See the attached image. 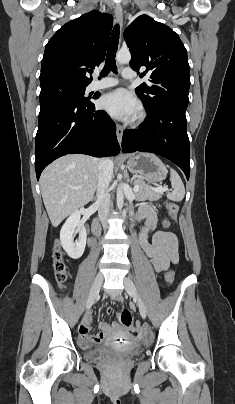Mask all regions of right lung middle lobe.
Wrapping results in <instances>:
<instances>
[{
    "instance_id": "1",
    "label": "right lung middle lobe",
    "mask_w": 235,
    "mask_h": 404,
    "mask_svg": "<svg viewBox=\"0 0 235 404\" xmlns=\"http://www.w3.org/2000/svg\"><path fill=\"white\" fill-rule=\"evenodd\" d=\"M87 85H78L67 82H50L41 85L40 102L60 100L69 103H88L84 97Z\"/></svg>"
}]
</instances>
